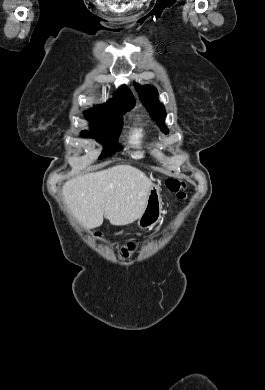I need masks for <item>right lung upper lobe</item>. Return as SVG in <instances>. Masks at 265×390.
<instances>
[{"label":"right lung upper lobe","instance_id":"right-lung-upper-lobe-1","mask_svg":"<svg viewBox=\"0 0 265 390\" xmlns=\"http://www.w3.org/2000/svg\"><path fill=\"white\" fill-rule=\"evenodd\" d=\"M134 105L135 99L131 91L128 87L121 86L112 99H109L104 105H98L90 112L101 113L111 118H121Z\"/></svg>","mask_w":265,"mask_h":390}]
</instances>
